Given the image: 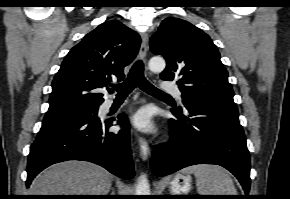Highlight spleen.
<instances>
[{
	"label": "spleen",
	"instance_id": "spleen-1",
	"mask_svg": "<svg viewBox=\"0 0 290 199\" xmlns=\"http://www.w3.org/2000/svg\"><path fill=\"white\" fill-rule=\"evenodd\" d=\"M184 173L194 174L199 195H237L233 180L221 166L199 164Z\"/></svg>",
	"mask_w": 290,
	"mask_h": 199
}]
</instances>
